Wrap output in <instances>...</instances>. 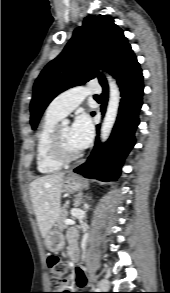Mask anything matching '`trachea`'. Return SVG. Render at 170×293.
Listing matches in <instances>:
<instances>
[{"label":"trachea","instance_id":"obj_1","mask_svg":"<svg viewBox=\"0 0 170 293\" xmlns=\"http://www.w3.org/2000/svg\"><path fill=\"white\" fill-rule=\"evenodd\" d=\"M95 97H99V95H95Z\"/></svg>","mask_w":170,"mask_h":293}]
</instances>
